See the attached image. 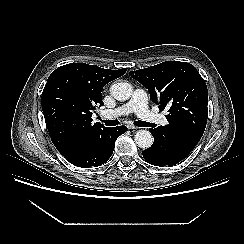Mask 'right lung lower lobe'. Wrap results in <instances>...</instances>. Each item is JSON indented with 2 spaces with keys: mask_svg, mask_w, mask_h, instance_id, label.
<instances>
[{
  "mask_svg": "<svg viewBox=\"0 0 244 244\" xmlns=\"http://www.w3.org/2000/svg\"><path fill=\"white\" fill-rule=\"evenodd\" d=\"M127 130L126 126L108 128L95 140L74 144L61 154L77 167H98L111 157L116 139Z\"/></svg>",
  "mask_w": 244,
  "mask_h": 244,
  "instance_id": "1",
  "label": "right lung lower lobe"
}]
</instances>
